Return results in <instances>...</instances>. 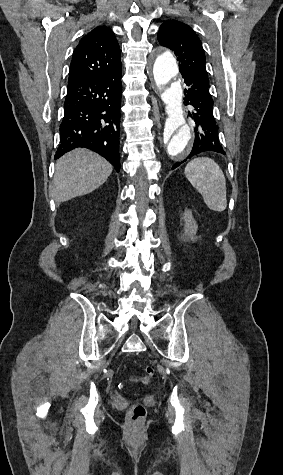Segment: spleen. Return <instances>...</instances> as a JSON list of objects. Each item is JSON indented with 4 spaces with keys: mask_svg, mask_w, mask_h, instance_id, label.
I'll return each instance as SVG.
<instances>
[{
    "mask_svg": "<svg viewBox=\"0 0 283 475\" xmlns=\"http://www.w3.org/2000/svg\"><path fill=\"white\" fill-rule=\"evenodd\" d=\"M184 174L214 212H224L227 206L224 174L211 158H195L187 164Z\"/></svg>",
    "mask_w": 283,
    "mask_h": 475,
    "instance_id": "obj_1",
    "label": "spleen"
}]
</instances>
